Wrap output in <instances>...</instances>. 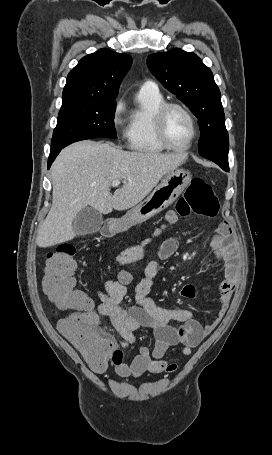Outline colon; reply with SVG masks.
Wrapping results in <instances>:
<instances>
[{"instance_id": "obj_1", "label": "colon", "mask_w": 272, "mask_h": 455, "mask_svg": "<svg viewBox=\"0 0 272 455\" xmlns=\"http://www.w3.org/2000/svg\"><path fill=\"white\" fill-rule=\"evenodd\" d=\"M218 211L219 202L211 186L204 179L195 177L184 196L178 200L175 210L167 213L165 223L143 244L149 245L167 226L176 224L182 218L194 215L215 217ZM75 255L76 248L72 244H62L51 252L46 259L42 286L45 294L63 314L58 323L59 330L82 352L93 370L102 371L110 362L115 365L122 363V354L110 336L97 330V318L91 310L92 301L75 285ZM140 258L137 257L131 265ZM118 277L124 282L132 280L130 270H121Z\"/></svg>"}]
</instances>
